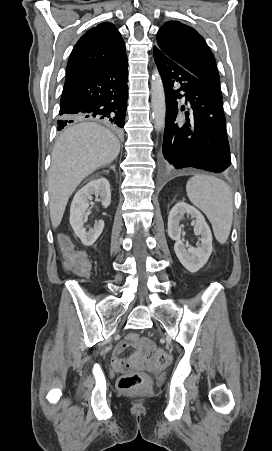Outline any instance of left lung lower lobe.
I'll use <instances>...</instances> for the list:
<instances>
[{
	"label": "left lung lower lobe",
	"mask_w": 272,
	"mask_h": 451,
	"mask_svg": "<svg viewBox=\"0 0 272 451\" xmlns=\"http://www.w3.org/2000/svg\"><path fill=\"white\" fill-rule=\"evenodd\" d=\"M166 96L163 164L167 169L192 167L221 173L231 164L222 97L198 77L154 46ZM180 91L185 92L184 95ZM183 96L193 113L177 120ZM183 108L182 110H184Z\"/></svg>",
	"instance_id": "obj_1"
}]
</instances>
